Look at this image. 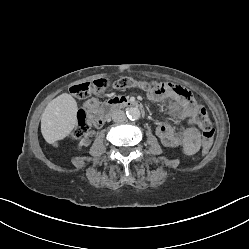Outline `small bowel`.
Returning a JSON list of instances; mask_svg holds the SVG:
<instances>
[{"instance_id":"obj_1","label":"small bowel","mask_w":249,"mask_h":249,"mask_svg":"<svg viewBox=\"0 0 249 249\" xmlns=\"http://www.w3.org/2000/svg\"><path fill=\"white\" fill-rule=\"evenodd\" d=\"M154 99H169L171 116L178 122H186L188 126L175 129L170 124L163 123L156 132L165 146L180 147L187 156H193L200 147V133L195 126V115L200 108L192 93L181 85L171 82H154Z\"/></svg>"}]
</instances>
